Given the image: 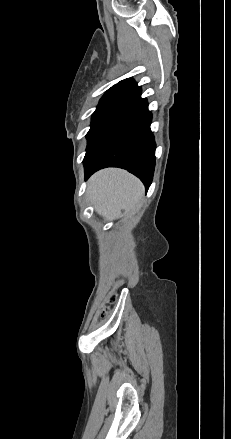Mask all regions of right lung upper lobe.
Instances as JSON below:
<instances>
[{"label": "right lung upper lobe", "mask_w": 231, "mask_h": 439, "mask_svg": "<svg viewBox=\"0 0 231 439\" xmlns=\"http://www.w3.org/2000/svg\"><path fill=\"white\" fill-rule=\"evenodd\" d=\"M141 94V88L137 86L135 81L131 78L120 81L118 84L112 86L101 98L112 99V98H128L136 97Z\"/></svg>", "instance_id": "cb5924a9"}]
</instances>
